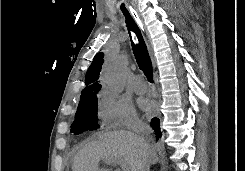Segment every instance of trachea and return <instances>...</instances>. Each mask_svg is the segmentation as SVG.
Returning <instances> with one entry per match:
<instances>
[{"instance_id":"3493384b","label":"trachea","mask_w":245,"mask_h":171,"mask_svg":"<svg viewBox=\"0 0 245 171\" xmlns=\"http://www.w3.org/2000/svg\"><path fill=\"white\" fill-rule=\"evenodd\" d=\"M120 9L125 16V22L130 33L132 50L138 66L143 71L148 81L152 83V62L148 54V50L141 31L132 18L131 14L123 4L120 6Z\"/></svg>"}]
</instances>
